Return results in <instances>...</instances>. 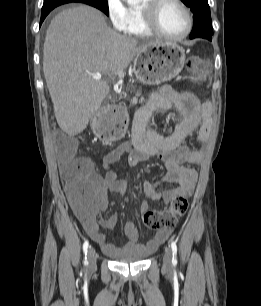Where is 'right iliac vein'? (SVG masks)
Segmentation results:
<instances>
[{
  "instance_id": "obj_1",
  "label": "right iliac vein",
  "mask_w": 261,
  "mask_h": 306,
  "mask_svg": "<svg viewBox=\"0 0 261 306\" xmlns=\"http://www.w3.org/2000/svg\"><path fill=\"white\" fill-rule=\"evenodd\" d=\"M88 261H89V270H94L96 268V253L93 248L88 250Z\"/></svg>"
}]
</instances>
